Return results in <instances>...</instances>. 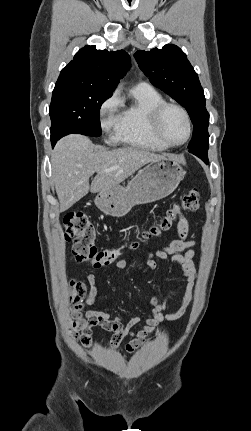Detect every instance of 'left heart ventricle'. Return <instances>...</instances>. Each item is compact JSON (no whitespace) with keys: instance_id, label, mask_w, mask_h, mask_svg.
<instances>
[{"instance_id":"1","label":"left heart ventricle","mask_w":251,"mask_h":431,"mask_svg":"<svg viewBox=\"0 0 251 431\" xmlns=\"http://www.w3.org/2000/svg\"><path fill=\"white\" fill-rule=\"evenodd\" d=\"M161 131L168 141L181 142L187 134V125L182 113L176 108H168L161 119Z\"/></svg>"}]
</instances>
